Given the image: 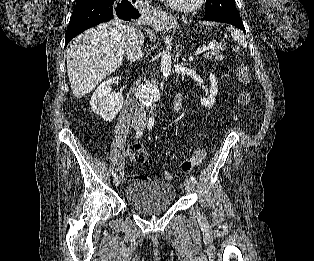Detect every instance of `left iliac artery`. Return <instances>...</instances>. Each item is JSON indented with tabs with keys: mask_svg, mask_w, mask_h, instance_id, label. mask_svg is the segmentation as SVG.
<instances>
[{
	"mask_svg": "<svg viewBox=\"0 0 314 261\" xmlns=\"http://www.w3.org/2000/svg\"><path fill=\"white\" fill-rule=\"evenodd\" d=\"M153 124H154V119L150 118V119H149V122H148V129H149V130L152 129ZM190 178H191V181H192L193 183H195V184L197 183L196 178H195L193 175H191Z\"/></svg>",
	"mask_w": 314,
	"mask_h": 261,
	"instance_id": "44dca946",
	"label": "left iliac artery"
}]
</instances>
